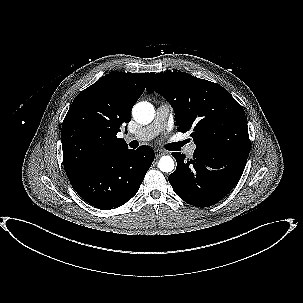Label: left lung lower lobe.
Returning <instances> with one entry per match:
<instances>
[{
	"instance_id": "0a47b994",
	"label": "left lung lower lobe",
	"mask_w": 303,
	"mask_h": 303,
	"mask_svg": "<svg viewBox=\"0 0 303 303\" xmlns=\"http://www.w3.org/2000/svg\"><path fill=\"white\" fill-rule=\"evenodd\" d=\"M176 171L169 175L174 192L185 202L208 207L223 199L239 182L248 154L195 149L193 158L172 154Z\"/></svg>"
}]
</instances>
